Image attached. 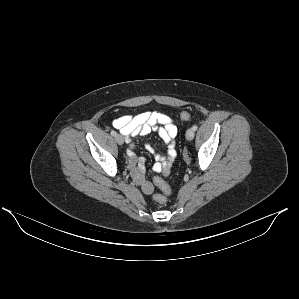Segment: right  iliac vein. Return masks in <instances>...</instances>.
I'll return each mask as SVG.
<instances>
[{
	"label": "right iliac vein",
	"instance_id": "1",
	"mask_svg": "<svg viewBox=\"0 0 299 299\" xmlns=\"http://www.w3.org/2000/svg\"><path fill=\"white\" fill-rule=\"evenodd\" d=\"M115 139L119 145H122L124 143V138L121 134H116Z\"/></svg>",
	"mask_w": 299,
	"mask_h": 299
}]
</instances>
